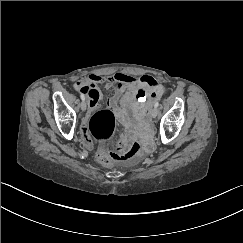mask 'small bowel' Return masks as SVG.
Masks as SVG:
<instances>
[{
	"label": "small bowel",
	"instance_id": "obj_1",
	"mask_svg": "<svg viewBox=\"0 0 243 243\" xmlns=\"http://www.w3.org/2000/svg\"><path fill=\"white\" fill-rule=\"evenodd\" d=\"M100 83H104L107 88L117 83L115 92L109 99V107L118 120L128 127L133 126L128 109L133 112L136 118H140L145 110L165 93L164 86L149 75H143L135 79L123 73L106 77L91 74L84 80H79L74 84L76 91H80L81 94L87 96L90 111L98 107V101L100 99L98 84ZM88 120L89 114L84 118L82 123L83 141L84 145L90 148L92 143L88 135Z\"/></svg>",
	"mask_w": 243,
	"mask_h": 243
}]
</instances>
